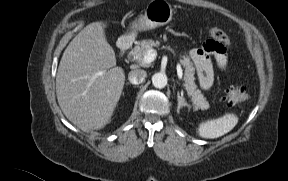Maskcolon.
Returning a JSON list of instances; mask_svg holds the SVG:
<instances>
[{
	"label": "colon",
	"instance_id": "1",
	"mask_svg": "<svg viewBox=\"0 0 288 181\" xmlns=\"http://www.w3.org/2000/svg\"><path fill=\"white\" fill-rule=\"evenodd\" d=\"M211 40L207 43L211 49H215L219 52L226 51L229 46V38L227 34L219 28H213L210 30ZM244 91L240 87H231L226 90L223 97V103L227 106H231L242 98Z\"/></svg>",
	"mask_w": 288,
	"mask_h": 181
}]
</instances>
